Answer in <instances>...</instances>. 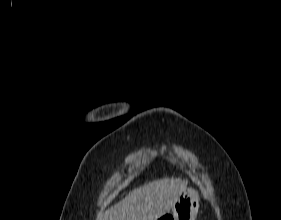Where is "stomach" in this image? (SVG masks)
<instances>
[{"label":"stomach","instance_id":"0dacf381","mask_svg":"<svg viewBox=\"0 0 281 220\" xmlns=\"http://www.w3.org/2000/svg\"><path fill=\"white\" fill-rule=\"evenodd\" d=\"M199 209L198 193L185 188L172 207V213L160 217V220H195Z\"/></svg>","mask_w":281,"mask_h":220}]
</instances>
